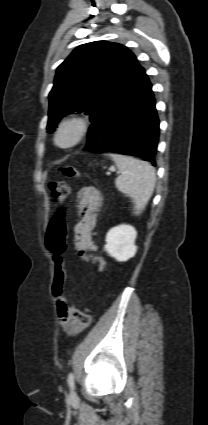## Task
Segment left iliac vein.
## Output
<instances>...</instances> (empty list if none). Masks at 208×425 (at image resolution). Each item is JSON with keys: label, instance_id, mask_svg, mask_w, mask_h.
Listing matches in <instances>:
<instances>
[{"label": "left iliac vein", "instance_id": "1", "mask_svg": "<svg viewBox=\"0 0 208 425\" xmlns=\"http://www.w3.org/2000/svg\"><path fill=\"white\" fill-rule=\"evenodd\" d=\"M75 397H76L75 392H72V393H71V398H75Z\"/></svg>", "mask_w": 208, "mask_h": 425}]
</instances>
